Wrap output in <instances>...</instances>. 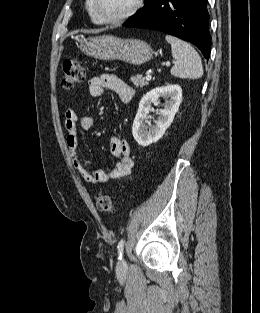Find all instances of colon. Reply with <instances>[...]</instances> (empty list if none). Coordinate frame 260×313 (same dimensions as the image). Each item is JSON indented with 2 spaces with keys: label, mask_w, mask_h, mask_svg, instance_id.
I'll return each instance as SVG.
<instances>
[{
  "label": "colon",
  "mask_w": 260,
  "mask_h": 313,
  "mask_svg": "<svg viewBox=\"0 0 260 313\" xmlns=\"http://www.w3.org/2000/svg\"><path fill=\"white\" fill-rule=\"evenodd\" d=\"M85 78V72L77 58L71 57L63 64L62 86L70 90L80 85ZM97 209L101 212H111L112 198L107 194H100L96 198Z\"/></svg>",
  "instance_id": "1"
}]
</instances>
